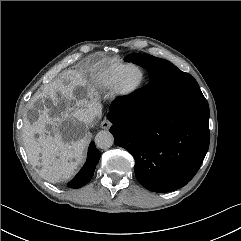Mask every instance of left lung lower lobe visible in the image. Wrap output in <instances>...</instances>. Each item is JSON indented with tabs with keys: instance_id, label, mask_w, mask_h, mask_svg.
<instances>
[{
	"instance_id": "0a47b994",
	"label": "left lung lower lobe",
	"mask_w": 241,
	"mask_h": 241,
	"mask_svg": "<svg viewBox=\"0 0 241 241\" xmlns=\"http://www.w3.org/2000/svg\"><path fill=\"white\" fill-rule=\"evenodd\" d=\"M107 117L115 144L133 155L136 178L151 191L185 186L209 147V105L201 90L173 98L161 75L151 76L132 95L116 99Z\"/></svg>"
}]
</instances>
